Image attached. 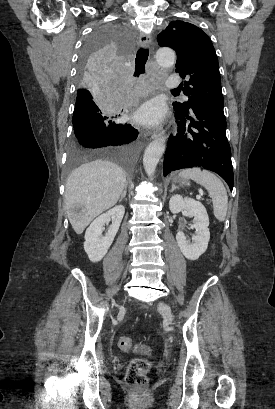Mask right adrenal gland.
Instances as JSON below:
<instances>
[{
  "instance_id": "right-adrenal-gland-1",
  "label": "right adrenal gland",
  "mask_w": 275,
  "mask_h": 409,
  "mask_svg": "<svg viewBox=\"0 0 275 409\" xmlns=\"http://www.w3.org/2000/svg\"><path fill=\"white\" fill-rule=\"evenodd\" d=\"M127 186H128V184H125L124 190H123V192L121 194V198H120L119 202H121V200H123V198H125L126 192H127Z\"/></svg>"
}]
</instances>
